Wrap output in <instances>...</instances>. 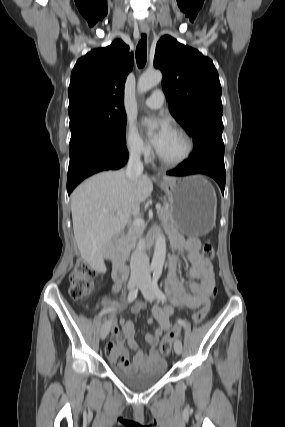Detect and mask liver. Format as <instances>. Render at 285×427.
<instances>
[{"label":"liver","mask_w":285,"mask_h":427,"mask_svg":"<svg viewBox=\"0 0 285 427\" xmlns=\"http://www.w3.org/2000/svg\"><path fill=\"white\" fill-rule=\"evenodd\" d=\"M172 179L163 176L164 181ZM152 191L153 184L147 174L139 175L134 183L124 170L96 174L73 191L74 237L81 257L88 264L95 269L103 268L109 240L124 230L136 206Z\"/></svg>","instance_id":"obj_1"}]
</instances>
